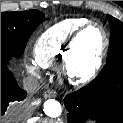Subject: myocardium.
Wrapping results in <instances>:
<instances>
[{"mask_svg":"<svg viewBox=\"0 0 123 123\" xmlns=\"http://www.w3.org/2000/svg\"><path fill=\"white\" fill-rule=\"evenodd\" d=\"M92 26H96L101 31L104 41L92 66L86 71L82 72L78 69L76 46L79 39ZM108 47L109 36L106 29L101 24L94 21H89L85 25H83L72 37L66 60L63 63V72L67 77L68 81L73 85H80L93 80L102 66L103 60L108 51Z\"/></svg>","mask_w":123,"mask_h":123,"instance_id":"f54148a6","label":"myocardium"}]
</instances>
